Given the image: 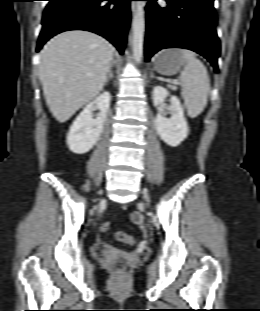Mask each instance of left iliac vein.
<instances>
[{
    "label": "left iliac vein",
    "mask_w": 260,
    "mask_h": 311,
    "mask_svg": "<svg viewBox=\"0 0 260 311\" xmlns=\"http://www.w3.org/2000/svg\"><path fill=\"white\" fill-rule=\"evenodd\" d=\"M143 194H144L145 199L148 201V200H149V198H148V194H147V192H146V191H143Z\"/></svg>",
    "instance_id": "left-iliac-vein-1"
}]
</instances>
